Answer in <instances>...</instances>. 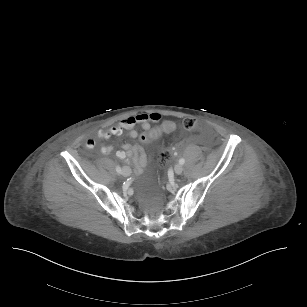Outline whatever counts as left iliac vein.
Listing matches in <instances>:
<instances>
[{
	"instance_id": "left-iliac-vein-1",
	"label": "left iliac vein",
	"mask_w": 307,
	"mask_h": 307,
	"mask_svg": "<svg viewBox=\"0 0 307 307\" xmlns=\"http://www.w3.org/2000/svg\"><path fill=\"white\" fill-rule=\"evenodd\" d=\"M174 171L176 174H181L183 172V166L181 164H177L175 167H174Z\"/></svg>"
}]
</instances>
